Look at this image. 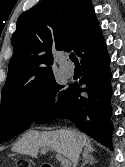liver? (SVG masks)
Returning a JSON list of instances; mask_svg holds the SVG:
<instances>
[{
  "label": "liver",
  "mask_w": 125,
  "mask_h": 167,
  "mask_svg": "<svg viewBox=\"0 0 125 167\" xmlns=\"http://www.w3.org/2000/svg\"><path fill=\"white\" fill-rule=\"evenodd\" d=\"M41 147H47L60 153L73 163V167H76L82 150H84L83 154H89L94 151L91 139L88 136L67 129L42 132L29 131L14 144L12 150L37 158Z\"/></svg>",
  "instance_id": "6515ba94"
}]
</instances>
